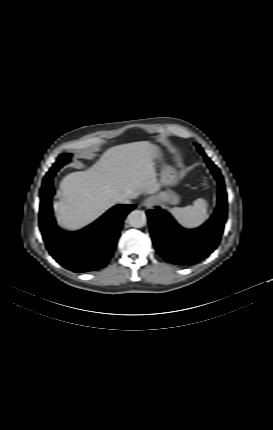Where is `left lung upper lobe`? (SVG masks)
<instances>
[{
  "label": "left lung upper lobe",
  "instance_id": "5c2ea615",
  "mask_svg": "<svg viewBox=\"0 0 273 430\" xmlns=\"http://www.w3.org/2000/svg\"><path fill=\"white\" fill-rule=\"evenodd\" d=\"M196 147H197L199 153L201 155H203L205 158H207V156L205 155V153H204L203 149L201 148V146L199 144H196Z\"/></svg>",
  "mask_w": 273,
  "mask_h": 430
}]
</instances>
